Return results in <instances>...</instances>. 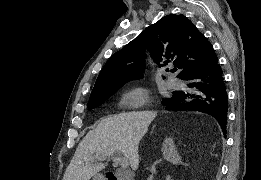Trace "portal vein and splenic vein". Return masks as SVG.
<instances>
[{
    "label": "portal vein and splenic vein",
    "mask_w": 261,
    "mask_h": 180,
    "mask_svg": "<svg viewBox=\"0 0 261 180\" xmlns=\"http://www.w3.org/2000/svg\"><path fill=\"white\" fill-rule=\"evenodd\" d=\"M115 156H120V152H115ZM124 162H126V164H128L127 160H125V158H121V156H120V164H124Z\"/></svg>",
    "instance_id": "18ae733b"
}]
</instances>
